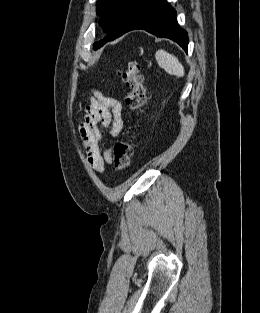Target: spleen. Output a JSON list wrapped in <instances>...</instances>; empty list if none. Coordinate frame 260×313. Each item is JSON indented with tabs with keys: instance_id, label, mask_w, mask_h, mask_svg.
I'll return each mask as SVG.
<instances>
[{
	"instance_id": "1",
	"label": "spleen",
	"mask_w": 260,
	"mask_h": 313,
	"mask_svg": "<svg viewBox=\"0 0 260 313\" xmlns=\"http://www.w3.org/2000/svg\"><path fill=\"white\" fill-rule=\"evenodd\" d=\"M156 60L158 65L164 69L168 74L177 77H183L185 74L183 65L179 62L178 58L166 52L165 50H158L156 52Z\"/></svg>"
}]
</instances>
